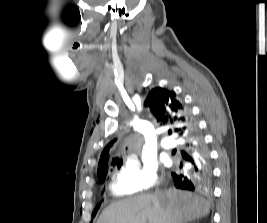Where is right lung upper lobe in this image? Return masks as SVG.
Segmentation results:
<instances>
[{"instance_id":"cb5924a9","label":"right lung upper lobe","mask_w":267,"mask_h":223,"mask_svg":"<svg viewBox=\"0 0 267 223\" xmlns=\"http://www.w3.org/2000/svg\"><path fill=\"white\" fill-rule=\"evenodd\" d=\"M145 105L149 107L158 123L172 126L183 139L188 136L196 124L189 109L180 101L174 91L156 87L148 94ZM114 141L107 145L101 154L98 164L99 179L108 170L107 153ZM115 163L118 166L121 164L118 159H113L112 164Z\"/></svg>"}]
</instances>
